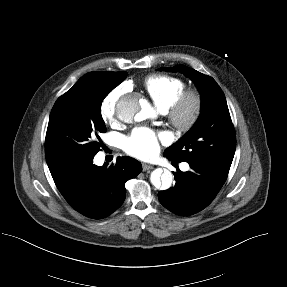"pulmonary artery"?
Instances as JSON below:
<instances>
[{"mask_svg": "<svg viewBox=\"0 0 287 287\" xmlns=\"http://www.w3.org/2000/svg\"><path fill=\"white\" fill-rule=\"evenodd\" d=\"M182 169L183 170H187L188 169V164H183Z\"/></svg>", "mask_w": 287, "mask_h": 287, "instance_id": "1", "label": "pulmonary artery"}]
</instances>
